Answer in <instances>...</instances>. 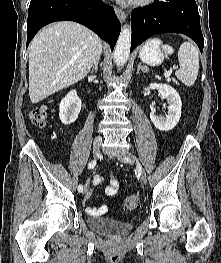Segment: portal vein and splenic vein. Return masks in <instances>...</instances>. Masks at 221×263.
<instances>
[{"mask_svg": "<svg viewBox=\"0 0 221 263\" xmlns=\"http://www.w3.org/2000/svg\"><path fill=\"white\" fill-rule=\"evenodd\" d=\"M172 71H173V69L170 68V70L165 73V77H170Z\"/></svg>", "mask_w": 221, "mask_h": 263, "instance_id": "portal-vein-and-splenic-vein-1", "label": "portal vein and splenic vein"}]
</instances>
